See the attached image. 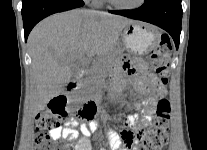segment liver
<instances>
[{
	"instance_id": "liver-1",
	"label": "liver",
	"mask_w": 207,
	"mask_h": 150,
	"mask_svg": "<svg viewBox=\"0 0 207 150\" xmlns=\"http://www.w3.org/2000/svg\"><path fill=\"white\" fill-rule=\"evenodd\" d=\"M134 23L125 17L94 10H70L42 20L31 31L32 59L26 107L32 117L63 92L78 56H106L117 45L123 29Z\"/></svg>"
}]
</instances>
